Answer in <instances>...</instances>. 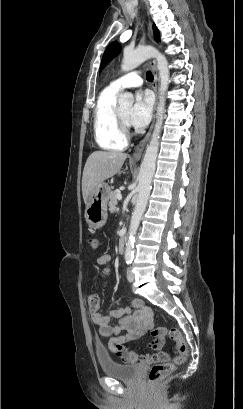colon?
I'll use <instances>...</instances> for the list:
<instances>
[{
	"label": "colon",
	"mask_w": 243,
	"mask_h": 409,
	"mask_svg": "<svg viewBox=\"0 0 243 409\" xmlns=\"http://www.w3.org/2000/svg\"><path fill=\"white\" fill-rule=\"evenodd\" d=\"M89 244L92 248H97V241L94 238L89 239ZM89 308L93 311H97L100 307V300L96 295H91L88 298ZM154 313H152V316ZM152 334L158 340H165L168 336L174 340L177 345V351L173 361H162L154 363L148 373V381L157 387L169 374H171L176 364L184 362L188 354V346L184 341L180 331L176 328H171L169 332L165 328L158 327L153 329Z\"/></svg>",
	"instance_id": "obj_1"
}]
</instances>
